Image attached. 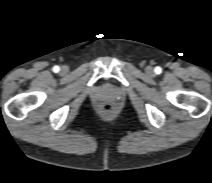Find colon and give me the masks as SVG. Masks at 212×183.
I'll list each match as a JSON object with an SVG mask.
<instances>
[{
  "label": "colon",
  "instance_id": "5ec220e1",
  "mask_svg": "<svg viewBox=\"0 0 212 183\" xmlns=\"http://www.w3.org/2000/svg\"><path fill=\"white\" fill-rule=\"evenodd\" d=\"M101 109H102V112L106 115H109L111 113H113L114 111V106L113 104L111 103H104L102 106H101Z\"/></svg>",
  "mask_w": 212,
  "mask_h": 183
}]
</instances>
